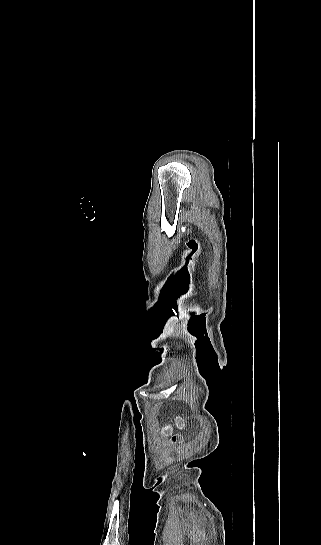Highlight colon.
Segmentation results:
<instances>
[{
  "label": "colon",
  "instance_id": "obj_1",
  "mask_svg": "<svg viewBox=\"0 0 321 545\" xmlns=\"http://www.w3.org/2000/svg\"><path fill=\"white\" fill-rule=\"evenodd\" d=\"M170 432H171V427H169V426L165 427L164 433H165V434H169ZM177 440H178V437H176V436H173V437H172V441H173L174 443H176Z\"/></svg>",
  "mask_w": 321,
  "mask_h": 545
}]
</instances>
